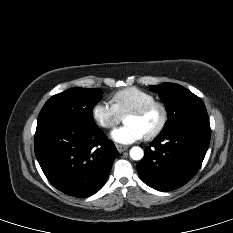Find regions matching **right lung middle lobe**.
Returning a JSON list of instances; mask_svg holds the SVG:
<instances>
[{
    "label": "right lung middle lobe",
    "instance_id": "obj_1",
    "mask_svg": "<svg viewBox=\"0 0 233 233\" xmlns=\"http://www.w3.org/2000/svg\"><path fill=\"white\" fill-rule=\"evenodd\" d=\"M103 92L94 88H72L52 96L43 106L38 122L63 118L74 122L96 125L92 108Z\"/></svg>",
    "mask_w": 233,
    "mask_h": 233
}]
</instances>
